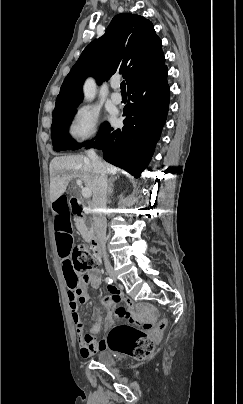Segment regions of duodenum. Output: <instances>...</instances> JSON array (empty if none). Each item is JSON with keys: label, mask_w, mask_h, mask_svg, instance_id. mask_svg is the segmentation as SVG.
<instances>
[{"label": "duodenum", "mask_w": 243, "mask_h": 404, "mask_svg": "<svg viewBox=\"0 0 243 404\" xmlns=\"http://www.w3.org/2000/svg\"><path fill=\"white\" fill-rule=\"evenodd\" d=\"M71 210L74 214L80 216L83 211H84V206L82 204V202L80 200H78L77 198H72L71 201ZM91 247L94 253V256L97 259H101L102 257V249L100 246V243L97 240H92L91 242Z\"/></svg>", "instance_id": "1"}]
</instances>
